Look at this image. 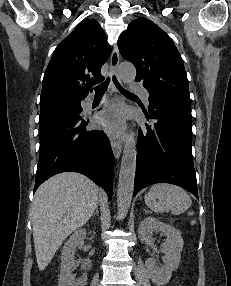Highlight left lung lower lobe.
I'll return each instance as SVG.
<instances>
[{"label":"left lung lower lobe","instance_id":"obj_1","mask_svg":"<svg viewBox=\"0 0 231 286\" xmlns=\"http://www.w3.org/2000/svg\"><path fill=\"white\" fill-rule=\"evenodd\" d=\"M153 125L139 129L134 195L154 183L178 185L198 198L192 159L191 103L149 96Z\"/></svg>","mask_w":231,"mask_h":286}]
</instances>
